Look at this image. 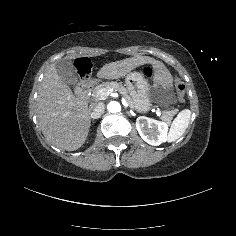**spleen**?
Returning <instances> with one entry per match:
<instances>
[{
    "label": "spleen",
    "mask_w": 236,
    "mask_h": 236,
    "mask_svg": "<svg viewBox=\"0 0 236 236\" xmlns=\"http://www.w3.org/2000/svg\"><path fill=\"white\" fill-rule=\"evenodd\" d=\"M190 118L191 111L189 109H184L178 113L177 117L174 119L170 127L167 136L168 142H174L184 134L189 125Z\"/></svg>",
    "instance_id": "spleen-1"
}]
</instances>
